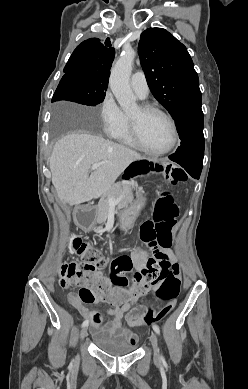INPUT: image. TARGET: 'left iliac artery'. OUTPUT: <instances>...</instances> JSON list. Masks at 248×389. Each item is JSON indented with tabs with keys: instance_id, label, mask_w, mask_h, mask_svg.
<instances>
[{
	"instance_id": "left-iliac-artery-1",
	"label": "left iliac artery",
	"mask_w": 248,
	"mask_h": 389,
	"mask_svg": "<svg viewBox=\"0 0 248 389\" xmlns=\"http://www.w3.org/2000/svg\"><path fill=\"white\" fill-rule=\"evenodd\" d=\"M153 330L157 333V334H160V329L157 325L153 324ZM161 360L164 361V358L163 356H161Z\"/></svg>"
}]
</instances>
